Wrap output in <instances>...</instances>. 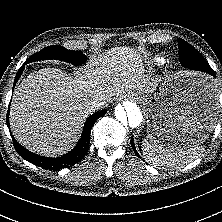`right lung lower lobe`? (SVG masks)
Returning a JSON list of instances; mask_svg holds the SVG:
<instances>
[{
  "mask_svg": "<svg viewBox=\"0 0 222 222\" xmlns=\"http://www.w3.org/2000/svg\"><path fill=\"white\" fill-rule=\"evenodd\" d=\"M28 61H25L24 64L21 66V68L18 70L15 81L13 84V89L15 87L16 82L20 78L21 74L23 73L24 67L26 64H28ZM106 113V110H101L99 112L93 113L91 116L87 118V121L84 125L83 132L81 135V138L75 148H73L69 153L66 155H63L61 157L57 158H48V157H43L37 154H34L24 147H22L14 138L13 140V145L14 148L16 149L17 153L23 157L25 160L28 162L42 167L44 169L48 170H60L62 168H66L70 165H73L83 159V157L87 154L90 146V133L91 129L94 126L95 122L97 121L98 118L103 116ZM7 125L9 127V109L7 113Z\"/></svg>",
  "mask_w": 222,
  "mask_h": 222,
  "instance_id": "98d812e1",
  "label": "right lung lower lobe"
}]
</instances>
